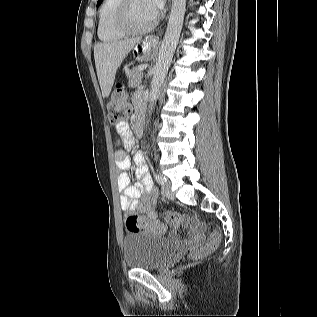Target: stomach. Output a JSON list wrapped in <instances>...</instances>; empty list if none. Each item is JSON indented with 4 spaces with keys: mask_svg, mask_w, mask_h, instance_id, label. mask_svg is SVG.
<instances>
[{
    "mask_svg": "<svg viewBox=\"0 0 317 317\" xmlns=\"http://www.w3.org/2000/svg\"><path fill=\"white\" fill-rule=\"evenodd\" d=\"M117 77H118V79H125L126 74H125V72H118ZM119 82H122V83L124 84V87L126 86L125 81H118V83H119ZM118 83H117V84H118Z\"/></svg>",
    "mask_w": 317,
    "mask_h": 317,
    "instance_id": "stomach-1",
    "label": "stomach"
}]
</instances>
